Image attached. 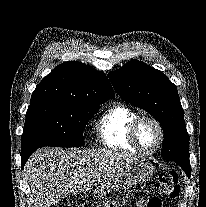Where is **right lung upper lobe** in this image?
Here are the masks:
<instances>
[{"mask_svg": "<svg viewBox=\"0 0 206 207\" xmlns=\"http://www.w3.org/2000/svg\"><path fill=\"white\" fill-rule=\"evenodd\" d=\"M114 99V91L103 72L81 62L58 65L32 93L31 102L55 100L77 104H102Z\"/></svg>", "mask_w": 206, "mask_h": 207, "instance_id": "cb5924a9", "label": "right lung upper lobe"}]
</instances>
